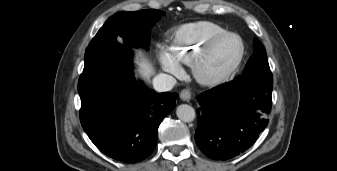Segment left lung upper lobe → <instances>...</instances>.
<instances>
[{"mask_svg":"<svg viewBox=\"0 0 337 171\" xmlns=\"http://www.w3.org/2000/svg\"><path fill=\"white\" fill-rule=\"evenodd\" d=\"M243 77L263 78L273 80L269 68L267 55L263 45L256 38L254 39V52L245 66L243 73L235 79Z\"/></svg>","mask_w":337,"mask_h":171,"instance_id":"1","label":"left lung upper lobe"}]
</instances>
